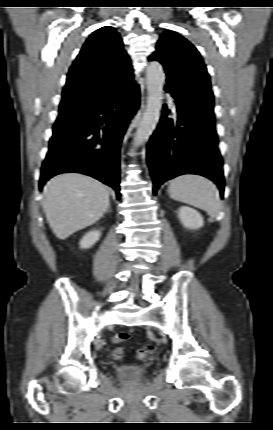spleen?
<instances>
[{
    "mask_svg": "<svg viewBox=\"0 0 273 430\" xmlns=\"http://www.w3.org/2000/svg\"><path fill=\"white\" fill-rule=\"evenodd\" d=\"M168 193L172 199L205 210L210 216H216L221 211L215 184L203 176L180 175L171 180Z\"/></svg>",
    "mask_w": 273,
    "mask_h": 430,
    "instance_id": "spleen-1",
    "label": "spleen"
}]
</instances>
